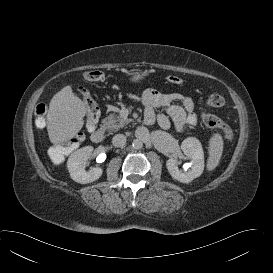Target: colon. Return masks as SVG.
Instances as JSON below:
<instances>
[{
    "label": "colon",
    "mask_w": 273,
    "mask_h": 273,
    "mask_svg": "<svg viewBox=\"0 0 273 273\" xmlns=\"http://www.w3.org/2000/svg\"><path fill=\"white\" fill-rule=\"evenodd\" d=\"M84 78L90 82H100L104 79L103 71L99 69H91L84 73ZM167 81L171 84H180L181 78L178 76H168ZM79 93L82 96L85 106H86V127L92 129L95 127L99 118V107L86 88H79ZM206 107L219 108L225 105V100L222 96L218 94L211 95L206 101ZM46 113V105L44 103H39L35 109L37 126L41 127L43 125V119ZM203 123L210 128L216 129L222 133L224 138L228 141H232L234 138V132L232 128L218 118L206 111L201 114ZM78 140V139H77ZM60 148L54 147L51 151V155H54Z\"/></svg>",
    "instance_id": "1"
}]
</instances>
